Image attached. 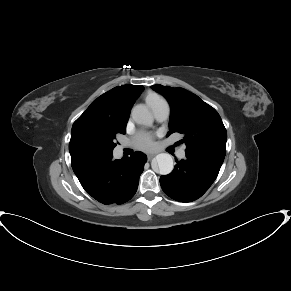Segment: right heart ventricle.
<instances>
[{
    "label": "right heart ventricle",
    "instance_id": "right-heart-ventricle-1",
    "mask_svg": "<svg viewBox=\"0 0 291 291\" xmlns=\"http://www.w3.org/2000/svg\"><path fill=\"white\" fill-rule=\"evenodd\" d=\"M160 99H162L161 96L157 95L156 93L150 92L147 94L146 96V103L147 105L152 109L153 105L159 101Z\"/></svg>",
    "mask_w": 291,
    "mask_h": 291
}]
</instances>
